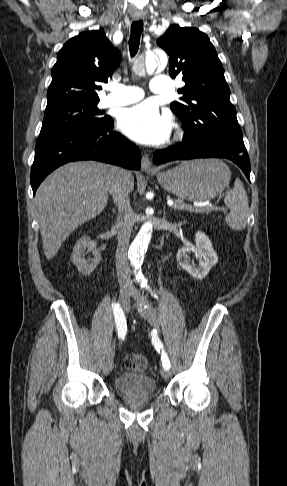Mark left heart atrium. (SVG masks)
I'll list each match as a JSON object with an SVG mask.
<instances>
[{"mask_svg":"<svg viewBox=\"0 0 287 486\" xmlns=\"http://www.w3.org/2000/svg\"><path fill=\"white\" fill-rule=\"evenodd\" d=\"M119 127L134 141L156 145L168 139L171 119L168 115L161 114L155 104L143 102L122 112Z\"/></svg>","mask_w":287,"mask_h":486,"instance_id":"left-heart-atrium-1","label":"left heart atrium"}]
</instances>
